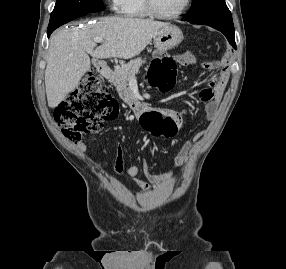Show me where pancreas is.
Wrapping results in <instances>:
<instances>
[{
	"mask_svg": "<svg viewBox=\"0 0 286 269\" xmlns=\"http://www.w3.org/2000/svg\"><path fill=\"white\" fill-rule=\"evenodd\" d=\"M145 62V59L137 58L127 64L116 66L112 73L111 82L116 87L119 97L126 103L134 100V95L129 87V81L135 78V75Z\"/></svg>",
	"mask_w": 286,
	"mask_h": 269,
	"instance_id": "pancreas-1",
	"label": "pancreas"
}]
</instances>
